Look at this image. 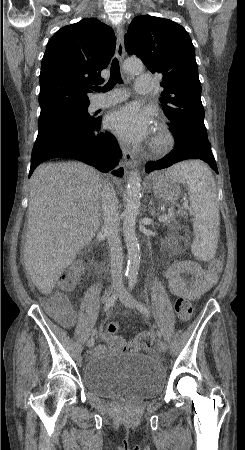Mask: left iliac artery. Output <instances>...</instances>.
Returning <instances> with one entry per match:
<instances>
[{
  "label": "left iliac artery",
  "instance_id": "44dca946",
  "mask_svg": "<svg viewBox=\"0 0 245 450\" xmlns=\"http://www.w3.org/2000/svg\"><path fill=\"white\" fill-rule=\"evenodd\" d=\"M137 278L136 277H130L129 279V290L132 291L136 285ZM135 305L138 308V310L145 316H148L150 313L146 306L142 304L141 302L135 301ZM157 335L159 338H161L162 334L159 330H157Z\"/></svg>",
  "mask_w": 245,
  "mask_h": 450
}]
</instances>
